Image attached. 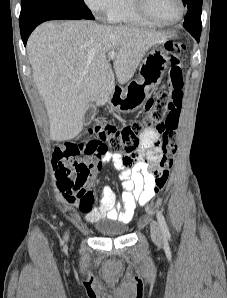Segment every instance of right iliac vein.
<instances>
[{
  "mask_svg": "<svg viewBox=\"0 0 227 298\" xmlns=\"http://www.w3.org/2000/svg\"><path fill=\"white\" fill-rule=\"evenodd\" d=\"M67 238H68V234L65 235V239H67Z\"/></svg>",
  "mask_w": 227,
  "mask_h": 298,
  "instance_id": "obj_1",
  "label": "right iliac vein"
}]
</instances>
